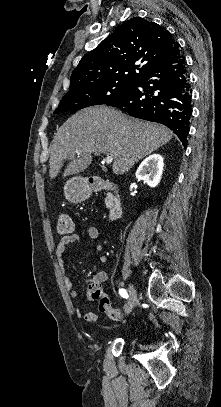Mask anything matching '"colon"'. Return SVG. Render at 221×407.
<instances>
[{"instance_id": "5ec220e1", "label": "colon", "mask_w": 221, "mask_h": 407, "mask_svg": "<svg viewBox=\"0 0 221 407\" xmlns=\"http://www.w3.org/2000/svg\"><path fill=\"white\" fill-rule=\"evenodd\" d=\"M56 229L59 235H69L73 231V222L70 216L67 214H61L58 218ZM88 296L90 300H99L100 311L105 313L110 320H121V311L111 307L109 300L102 295V287L100 283L91 282L89 284Z\"/></svg>"}]
</instances>
